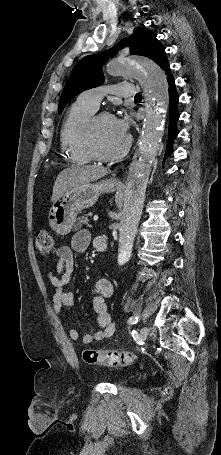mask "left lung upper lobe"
<instances>
[{
    "label": "left lung upper lobe",
    "instance_id": "obj_1",
    "mask_svg": "<svg viewBox=\"0 0 221 455\" xmlns=\"http://www.w3.org/2000/svg\"><path fill=\"white\" fill-rule=\"evenodd\" d=\"M130 47V54L141 55L155 61L162 69L167 67L165 49L156 39V34L150 30L137 27L129 39L122 40L114 48L94 55H88L80 60L72 70L59 102V113L67 103L84 90L101 85L104 81L102 66L116 54L118 49Z\"/></svg>",
    "mask_w": 221,
    "mask_h": 455
}]
</instances>
